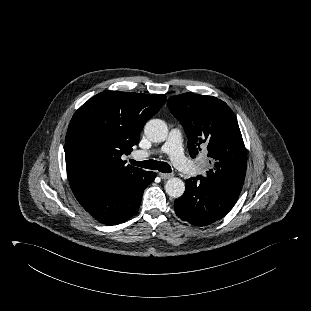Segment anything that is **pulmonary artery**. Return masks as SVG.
<instances>
[{"mask_svg": "<svg viewBox=\"0 0 311 311\" xmlns=\"http://www.w3.org/2000/svg\"><path fill=\"white\" fill-rule=\"evenodd\" d=\"M160 152L167 153L174 165L186 174H196L198 167L190 162L183 153L182 148V134L179 128H173L169 136L161 147ZM155 152L153 151H139L135 154L138 158L149 157Z\"/></svg>", "mask_w": 311, "mask_h": 311, "instance_id": "1", "label": "pulmonary artery"}]
</instances>
